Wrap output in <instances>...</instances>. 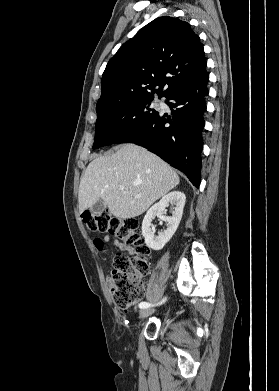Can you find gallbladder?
Wrapping results in <instances>:
<instances>
[{
	"instance_id": "gallbladder-1",
	"label": "gallbladder",
	"mask_w": 279,
	"mask_h": 391,
	"mask_svg": "<svg viewBox=\"0 0 279 391\" xmlns=\"http://www.w3.org/2000/svg\"><path fill=\"white\" fill-rule=\"evenodd\" d=\"M105 208H106V204L102 200H99L90 207V212L93 215H98L102 213L105 210Z\"/></svg>"
}]
</instances>
